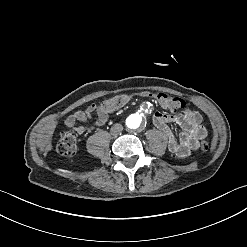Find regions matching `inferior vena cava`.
I'll return each instance as SVG.
<instances>
[{
	"instance_id": "obj_1",
	"label": "inferior vena cava",
	"mask_w": 247,
	"mask_h": 247,
	"mask_svg": "<svg viewBox=\"0 0 247 247\" xmlns=\"http://www.w3.org/2000/svg\"><path fill=\"white\" fill-rule=\"evenodd\" d=\"M123 130V126L119 123H116L114 124L112 127H111V130H110V133L112 135H117L119 134L121 131Z\"/></svg>"
}]
</instances>
